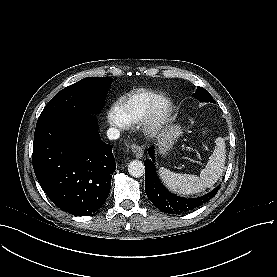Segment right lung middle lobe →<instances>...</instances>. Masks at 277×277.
Listing matches in <instances>:
<instances>
[{
  "label": "right lung middle lobe",
  "instance_id": "right-lung-middle-lobe-1",
  "mask_svg": "<svg viewBox=\"0 0 277 277\" xmlns=\"http://www.w3.org/2000/svg\"><path fill=\"white\" fill-rule=\"evenodd\" d=\"M111 78H84L56 94L45 106L38 121L55 117H82L102 108Z\"/></svg>",
  "mask_w": 277,
  "mask_h": 277
}]
</instances>
